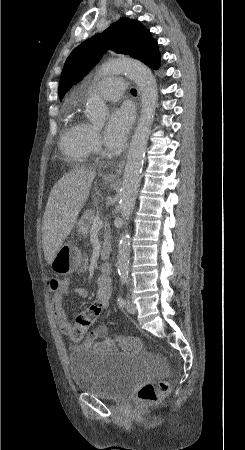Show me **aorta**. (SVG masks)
<instances>
[{
    "instance_id": "aorta-1",
    "label": "aorta",
    "mask_w": 245,
    "mask_h": 450,
    "mask_svg": "<svg viewBox=\"0 0 245 450\" xmlns=\"http://www.w3.org/2000/svg\"><path fill=\"white\" fill-rule=\"evenodd\" d=\"M117 73H126L137 84L142 100L140 118L129 146L120 192L121 214L125 229L119 241L117 268L119 275L126 278L130 257V235L127 226L138 194L144 154L158 101V90L151 70L139 61L132 59L109 60L99 69L98 77ZM107 113L104 101L96 93H90L87 100L89 120L94 124L101 125L105 122Z\"/></svg>"
}]
</instances>
